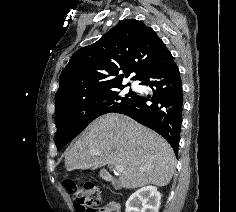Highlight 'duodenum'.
I'll list each match as a JSON object with an SVG mask.
<instances>
[{
  "mask_svg": "<svg viewBox=\"0 0 236 212\" xmlns=\"http://www.w3.org/2000/svg\"><path fill=\"white\" fill-rule=\"evenodd\" d=\"M101 175L106 180L110 179V175H109V173L107 171H102Z\"/></svg>",
  "mask_w": 236,
  "mask_h": 212,
  "instance_id": "obj_1",
  "label": "duodenum"
}]
</instances>
